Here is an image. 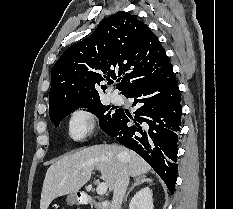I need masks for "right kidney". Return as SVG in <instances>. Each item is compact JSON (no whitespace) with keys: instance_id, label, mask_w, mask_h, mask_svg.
Wrapping results in <instances>:
<instances>
[{"instance_id":"right-kidney-1","label":"right kidney","mask_w":233,"mask_h":209,"mask_svg":"<svg viewBox=\"0 0 233 209\" xmlns=\"http://www.w3.org/2000/svg\"><path fill=\"white\" fill-rule=\"evenodd\" d=\"M152 190L145 187L138 191L132 198L129 209H153Z\"/></svg>"}]
</instances>
